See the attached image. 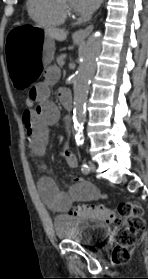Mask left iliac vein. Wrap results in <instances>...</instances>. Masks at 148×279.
<instances>
[{
    "instance_id": "1",
    "label": "left iliac vein",
    "mask_w": 148,
    "mask_h": 279,
    "mask_svg": "<svg viewBox=\"0 0 148 279\" xmlns=\"http://www.w3.org/2000/svg\"><path fill=\"white\" fill-rule=\"evenodd\" d=\"M89 168L92 172L96 171V165L93 161H89Z\"/></svg>"
}]
</instances>
